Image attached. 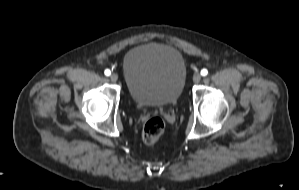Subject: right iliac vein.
Segmentation results:
<instances>
[{"instance_id": "63e3f726", "label": "right iliac vein", "mask_w": 299, "mask_h": 190, "mask_svg": "<svg viewBox=\"0 0 299 190\" xmlns=\"http://www.w3.org/2000/svg\"><path fill=\"white\" fill-rule=\"evenodd\" d=\"M110 79L112 82H116L118 80V75L116 73L111 74Z\"/></svg>"}]
</instances>
